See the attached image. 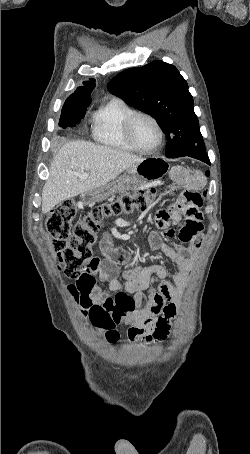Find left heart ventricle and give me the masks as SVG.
I'll use <instances>...</instances> for the list:
<instances>
[{"label": "left heart ventricle", "instance_id": "left-heart-ventricle-1", "mask_svg": "<svg viewBox=\"0 0 250 454\" xmlns=\"http://www.w3.org/2000/svg\"><path fill=\"white\" fill-rule=\"evenodd\" d=\"M134 137L137 144L143 149H151L159 141V134L155 125L147 118H139L136 121Z\"/></svg>", "mask_w": 250, "mask_h": 454}]
</instances>
